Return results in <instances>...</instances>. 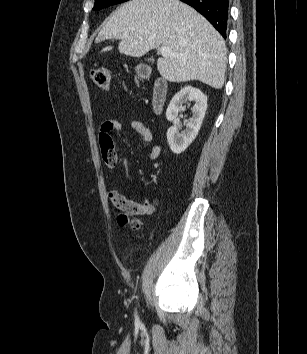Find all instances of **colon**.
I'll use <instances>...</instances> for the list:
<instances>
[{
    "label": "colon",
    "instance_id": "obj_1",
    "mask_svg": "<svg viewBox=\"0 0 307 354\" xmlns=\"http://www.w3.org/2000/svg\"><path fill=\"white\" fill-rule=\"evenodd\" d=\"M91 79L99 88L107 90L110 86V72L105 67H98L91 70ZM122 210L119 214L118 221L121 225L129 224L133 230H138L142 226V221L139 218L129 220V215L149 216L152 213V208L148 204H143L140 207L129 209L126 207H118Z\"/></svg>",
    "mask_w": 307,
    "mask_h": 354
}]
</instances>
